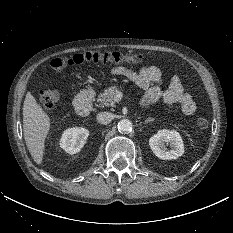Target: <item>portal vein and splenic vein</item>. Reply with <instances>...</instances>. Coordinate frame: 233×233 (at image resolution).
<instances>
[{
  "mask_svg": "<svg viewBox=\"0 0 233 233\" xmlns=\"http://www.w3.org/2000/svg\"><path fill=\"white\" fill-rule=\"evenodd\" d=\"M122 99V93L118 92L115 96V101H120Z\"/></svg>",
  "mask_w": 233,
  "mask_h": 233,
  "instance_id": "portal-vein-and-splenic-vein-1",
  "label": "portal vein and splenic vein"
}]
</instances>
